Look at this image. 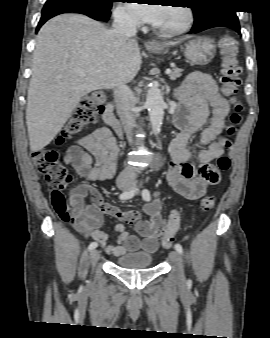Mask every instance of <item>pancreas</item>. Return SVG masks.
Wrapping results in <instances>:
<instances>
[{"instance_id":"1","label":"pancreas","mask_w":270,"mask_h":338,"mask_svg":"<svg viewBox=\"0 0 270 338\" xmlns=\"http://www.w3.org/2000/svg\"><path fill=\"white\" fill-rule=\"evenodd\" d=\"M182 69L174 68L173 71L169 74V77L171 80H175L176 78H179L182 75Z\"/></svg>"}]
</instances>
